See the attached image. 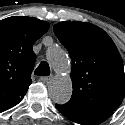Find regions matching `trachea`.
<instances>
[{
    "mask_svg": "<svg viewBox=\"0 0 125 125\" xmlns=\"http://www.w3.org/2000/svg\"><path fill=\"white\" fill-rule=\"evenodd\" d=\"M49 64L45 61H42L35 70V75L37 76H49L50 75Z\"/></svg>",
    "mask_w": 125,
    "mask_h": 125,
    "instance_id": "1",
    "label": "trachea"
}]
</instances>
